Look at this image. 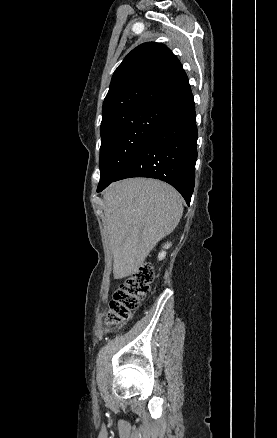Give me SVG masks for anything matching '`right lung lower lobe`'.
<instances>
[{"label":"right lung lower lobe","mask_w":277,"mask_h":438,"mask_svg":"<svg viewBox=\"0 0 277 438\" xmlns=\"http://www.w3.org/2000/svg\"><path fill=\"white\" fill-rule=\"evenodd\" d=\"M197 136L190 92L165 110L144 144L112 182L130 177L160 179L175 187L189 205L195 183ZM110 183L98 185L97 192Z\"/></svg>","instance_id":"obj_1"}]
</instances>
